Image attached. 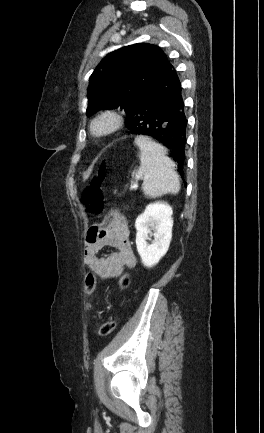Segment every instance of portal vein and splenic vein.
<instances>
[{"label":"portal vein and splenic vein","instance_id":"1","mask_svg":"<svg viewBox=\"0 0 264 433\" xmlns=\"http://www.w3.org/2000/svg\"><path fill=\"white\" fill-rule=\"evenodd\" d=\"M137 187H138V184L134 183V184L131 185L130 189L131 190H135V189H137Z\"/></svg>","mask_w":264,"mask_h":433}]
</instances>
